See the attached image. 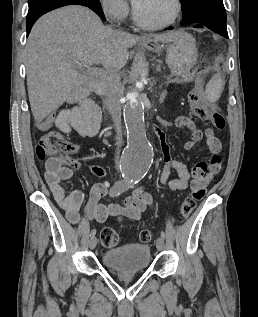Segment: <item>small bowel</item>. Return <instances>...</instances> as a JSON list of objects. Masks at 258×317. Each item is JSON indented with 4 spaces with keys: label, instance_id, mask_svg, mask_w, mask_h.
<instances>
[{
    "label": "small bowel",
    "instance_id": "small-bowel-1",
    "mask_svg": "<svg viewBox=\"0 0 258 317\" xmlns=\"http://www.w3.org/2000/svg\"><path fill=\"white\" fill-rule=\"evenodd\" d=\"M174 123L177 127L185 129L191 134L190 140L184 144L186 150L193 149L198 142L204 139L210 157L208 161L197 163L190 173L184 163L171 157L164 133L156 129L161 141L164 161L160 181L170 191H184L189 187L193 189L205 187L221 168V143L212 129L207 128L202 132L186 116H178ZM53 125L64 133L76 132L82 137H95L100 130L101 111L97 103L92 98L87 97L71 109L50 114L37 127L39 130H47ZM89 169L97 177L107 176L106 169L100 165H89ZM172 171H175L178 177L169 180ZM72 176L71 169L62 158L50 157L46 161L45 179L55 201L64 210L68 221L78 224L81 220L80 210L84 204V193L78 189L67 193L62 185V181L68 180ZM108 192L110 191L107 182H99L92 186L84 209V216L87 220L98 223H105L110 218L118 221H136L146 209L153 205L152 196L143 188L134 190L120 203L105 204L102 199Z\"/></svg>",
    "mask_w": 258,
    "mask_h": 317
}]
</instances>
